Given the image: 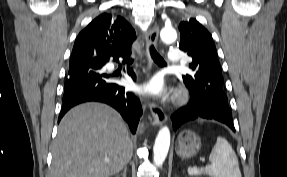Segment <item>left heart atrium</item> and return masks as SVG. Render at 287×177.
<instances>
[{
  "label": "left heart atrium",
  "instance_id": "1",
  "mask_svg": "<svg viewBox=\"0 0 287 177\" xmlns=\"http://www.w3.org/2000/svg\"><path fill=\"white\" fill-rule=\"evenodd\" d=\"M141 89L144 93L153 96H161L165 92L164 83L159 76H154L146 81Z\"/></svg>",
  "mask_w": 287,
  "mask_h": 177
}]
</instances>
